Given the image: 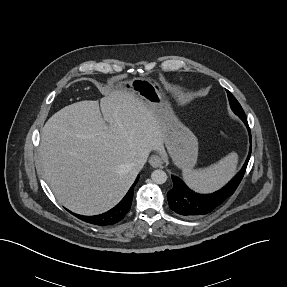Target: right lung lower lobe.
I'll use <instances>...</instances> for the list:
<instances>
[{"mask_svg":"<svg viewBox=\"0 0 287 287\" xmlns=\"http://www.w3.org/2000/svg\"><path fill=\"white\" fill-rule=\"evenodd\" d=\"M137 181L138 177L135 180L134 184L131 186L130 190L125 195V197L120 201V203L108 212L96 216H82L75 213L73 214L82 221L98 226L112 225L121 221L125 217L127 212L130 210L134 187Z\"/></svg>","mask_w":287,"mask_h":287,"instance_id":"obj_1","label":"right lung lower lobe"}]
</instances>
